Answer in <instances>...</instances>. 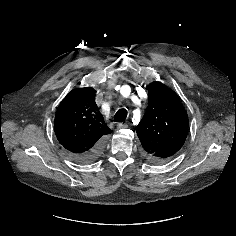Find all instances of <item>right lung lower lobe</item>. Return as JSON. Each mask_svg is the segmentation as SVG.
<instances>
[{
	"label": "right lung lower lobe",
	"mask_w": 236,
	"mask_h": 236,
	"mask_svg": "<svg viewBox=\"0 0 236 236\" xmlns=\"http://www.w3.org/2000/svg\"><path fill=\"white\" fill-rule=\"evenodd\" d=\"M103 149H104V139H101L93 146V148H91L87 152L80 154L72 153L71 156L77 162L91 163L101 155Z\"/></svg>",
	"instance_id": "right-lung-lower-lobe-1"
}]
</instances>
